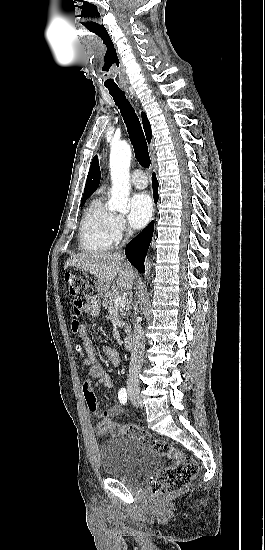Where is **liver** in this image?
<instances>
[{"instance_id":"1","label":"liver","mask_w":265,"mask_h":550,"mask_svg":"<svg viewBox=\"0 0 265 550\" xmlns=\"http://www.w3.org/2000/svg\"><path fill=\"white\" fill-rule=\"evenodd\" d=\"M69 266L81 268L94 275L98 279V289L105 295L108 294L115 277L117 288L125 291L132 289L135 278L131 265L119 253H79L66 261L64 269Z\"/></svg>"}]
</instances>
